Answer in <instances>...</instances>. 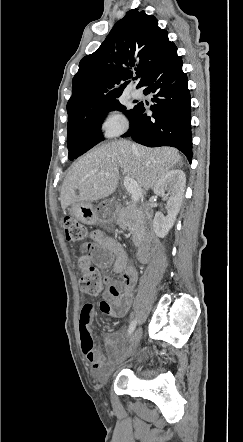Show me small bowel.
<instances>
[{
	"label": "small bowel",
	"mask_w": 243,
	"mask_h": 442,
	"mask_svg": "<svg viewBox=\"0 0 243 442\" xmlns=\"http://www.w3.org/2000/svg\"><path fill=\"white\" fill-rule=\"evenodd\" d=\"M96 244L91 253V260L103 268L111 270L120 276L118 281L105 278L107 285L102 292V300L99 302V310L106 316L114 319L124 317L133 301L134 286L138 279V273L130 264L127 253L122 245L107 235L104 231L95 229L90 233ZM95 315V305L86 302L79 312L78 328L81 339V348L86 361L91 365L98 378L106 376L112 363L118 357L119 345L122 335L113 334L106 338L105 348L109 359L102 350L95 345L91 324Z\"/></svg>",
	"instance_id": "obj_1"
}]
</instances>
